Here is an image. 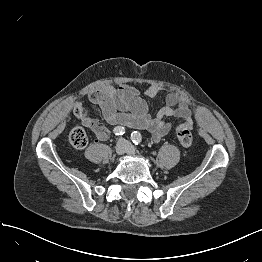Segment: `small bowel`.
Returning <instances> with one entry per match:
<instances>
[{"label":"small bowel","mask_w":262,"mask_h":262,"mask_svg":"<svg viewBox=\"0 0 262 262\" xmlns=\"http://www.w3.org/2000/svg\"><path fill=\"white\" fill-rule=\"evenodd\" d=\"M159 88L154 85H146L144 93L148 100L140 96L139 91L132 85H122L118 88L103 85L90 92V103L98 105L102 109L104 120L115 127H132L147 129L154 141H160L173 127L167 117H176L181 123L190 127L194 124V113L190 108V101L182 93H171L166 99V105L155 115L151 113V104L159 95ZM73 116L81 120L95 135L99 141L109 138L108 129L100 120L89 115V108L81 102L73 105Z\"/></svg>","instance_id":"obj_1"}]
</instances>
